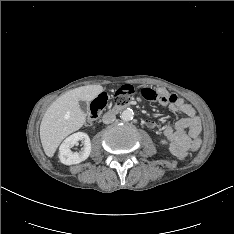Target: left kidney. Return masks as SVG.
Returning <instances> with one entry per match:
<instances>
[{
  "label": "left kidney",
  "mask_w": 234,
  "mask_h": 234,
  "mask_svg": "<svg viewBox=\"0 0 234 234\" xmlns=\"http://www.w3.org/2000/svg\"><path fill=\"white\" fill-rule=\"evenodd\" d=\"M161 143L164 145V144H167V141L166 140H161Z\"/></svg>",
  "instance_id": "5707ae66"
}]
</instances>
